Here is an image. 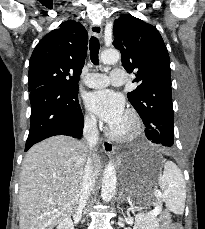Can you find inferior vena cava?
I'll use <instances>...</instances> for the list:
<instances>
[{"mask_svg":"<svg viewBox=\"0 0 205 229\" xmlns=\"http://www.w3.org/2000/svg\"><path fill=\"white\" fill-rule=\"evenodd\" d=\"M83 136L87 141L89 156L87 158L81 190L79 194V202L77 211L82 212L87 206V202L91 192L95 186V175L93 172L92 156L91 153L95 149L99 141V133L97 129V121L94 116H87L84 121Z\"/></svg>","mask_w":205,"mask_h":229,"instance_id":"602c4592","label":"inferior vena cava"}]
</instances>
